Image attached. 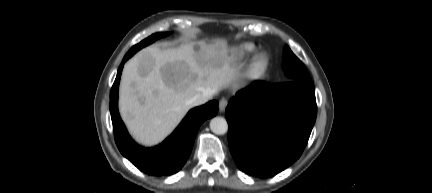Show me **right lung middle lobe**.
<instances>
[{"label": "right lung middle lobe", "instance_id": "1", "mask_svg": "<svg viewBox=\"0 0 432 193\" xmlns=\"http://www.w3.org/2000/svg\"><path fill=\"white\" fill-rule=\"evenodd\" d=\"M169 33H156L151 35L150 37L146 38L145 40H143L142 42H140L139 44L133 46L126 55H129L130 57L136 53L138 50H140L141 48L151 44L152 42H154L156 39L167 36Z\"/></svg>", "mask_w": 432, "mask_h": 193}]
</instances>
